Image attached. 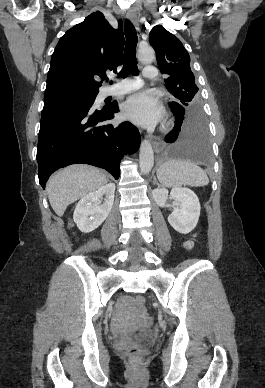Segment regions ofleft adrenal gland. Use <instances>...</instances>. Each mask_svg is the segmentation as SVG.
<instances>
[{
  "label": "left adrenal gland",
  "instance_id": "a2214340",
  "mask_svg": "<svg viewBox=\"0 0 265 388\" xmlns=\"http://www.w3.org/2000/svg\"><path fill=\"white\" fill-rule=\"evenodd\" d=\"M153 184H157V186H159V184H158V182H157L156 178H154V182H153Z\"/></svg>",
  "mask_w": 265,
  "mask_h": 388
}]
</instances>
